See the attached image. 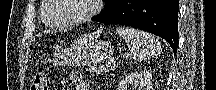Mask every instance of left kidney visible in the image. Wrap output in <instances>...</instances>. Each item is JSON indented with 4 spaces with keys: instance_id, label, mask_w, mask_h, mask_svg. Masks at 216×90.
Listing matches in <instances>:
<instances>
[{
    "instance_id": "left-kidney-1",
    "label": "left kidney",
    "mask_w": 216,
    "mask_h": 90,
    "mask_svg": "<svg viewBox=\"0 0 216 90\" xmlns=\"http://www.w3.org/2000/svg\"><path fill=\"white\" fill-rule=\"evenodd\" d=\"M152 74L149 70H140L127 74L121 82L117 90H152Z\"/></svg>"
}]
</instances>
